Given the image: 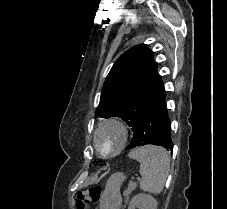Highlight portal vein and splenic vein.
Wrapping results in <instances>:
<instances>
[{
	"mask_svg": "<svg viewBox=\"0 0 227 209\" xmlns=\"http://www.w3.org/2000/svg\"><path fill=\"white\" fill-rule=\"evenodd\" d=\"M129 184V186L127 187L128 189L124 192L125 193V197L127 196V195H129L135 188H136V185L138 184L137 182H129L128 183Z\"/></svg>",
	"mask_w": 227,
	"mask_h": 209,
	"instance_id": "18ae733b",
	"label": "portal vein and splenic vein"
}]
</instances>
